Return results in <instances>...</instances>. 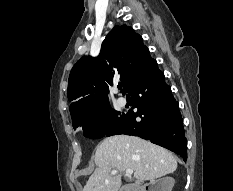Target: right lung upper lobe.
I'll list each match as a JSON object with an SVG mask.
<instances>
[{
	"label": "right lung upper lobe",
	"instance_id": "1",
	"mask_svg": "<svg viewBox=\"0 0 233 191\" xmlns=\"http://www.w3.org/2000/svg\"><path fill=\"white\" fill-rule=\"evenodd\" d=\"M150 58L143 39L131 27L115 26L103 41L98 57L83 56L71 70L67 96L71 116L108 103L107 93L119 78L125 93Z\"/></svg>",
	"mask_w": 233,
	"mask_h": 191
}]
</instances>
